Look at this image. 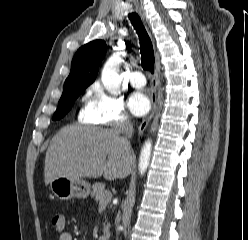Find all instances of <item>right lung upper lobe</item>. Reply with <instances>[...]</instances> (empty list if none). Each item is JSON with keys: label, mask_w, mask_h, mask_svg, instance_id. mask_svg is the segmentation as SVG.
<instances>
[{"label": "right lung upper lobe", "mask_w": 248, "mask_h": 240, "mask_svg": "<svg viewBox=\"0 0 248 240\" xmlns=\"http://www.w3.org/2000/svg\"><path fill=\"white\" fill-rule=\"evenodd\" d=\"M106 49L107 46L103 40H94L83 45L73 57L71 71L64 86L72 83L89 86L97 76Z\"/></svg>", "instance_id": "cb5924a9"}]
</instances>
